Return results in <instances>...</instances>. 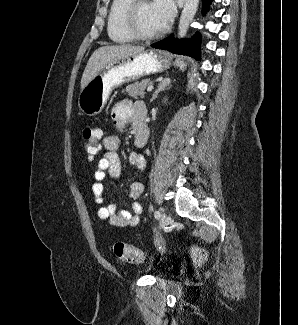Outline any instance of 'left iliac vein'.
Wrapping results in <instances>:
<instances>
[{"mask_svg": "<svg viewBox=\"0 0 298 325\" xmlns=\"http://www.w3.org/2000/svg\"><path fill=\"white\" fill-rule=\"evenodd\" d=\"M169 217L166 213H163L160 217V226L162 228L166 227L169 224Z\"/></svg>", "mask_w": 298, "mask_h": 325, "instance_id": "obj_1", "label": "left iliac vein"}]
</instances>
